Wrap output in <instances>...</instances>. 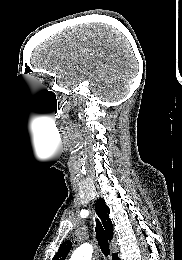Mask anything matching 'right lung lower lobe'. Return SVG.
<instances>
[{"mask_svg": "<svg viewBox=\"0 0 182 260\" xmlns=\"http://www.w3.org/2000/svg\"><path fill=\"white\" fill-rule=\"evenodd\" d=\"M112 260H120L117 253L112 255Z\"/></svg>", "mask_w": 182, "mask_h": 260, "instance_id": "right-lung-lower-lobe-1", "label": "right lung lower lobe"}]
</instances>
